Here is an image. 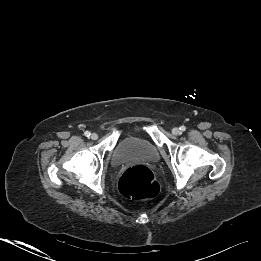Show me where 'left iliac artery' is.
I'll return each instance as SVG.
<instances>
[{
  "mask_svg": "<svg viewBox=\"0 0 261 261\" xmlns=\"http://www.w3.org/2000/svg\"><path fill=\"white\" fill-rule=\"evenodd\" d=\"M180 130H181V131H185V130H186V127H185V126H181V127H180Z\"/></svg>",
  "mask_w": 261,
  "mask_h": 261,
  "instance_id": "44dca946",
  "label": "left iliac artery"
}]
</instances>
